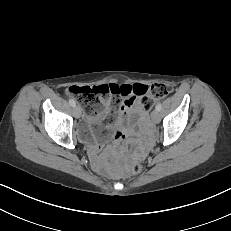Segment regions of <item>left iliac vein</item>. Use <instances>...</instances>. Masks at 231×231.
<instances>
[{"instance_id": "1", "label": "left iliac vein", "mask_w": 231, "mask_h": 231, "mask_svg": "<svg viewBox=\"0 0 231 231\" xmlns=\"http://www.w3.org/2000/svg\"><path fill=\"white\" fill-rule=\"evenodd\" d=\"M151 119L154 123H158L160 121V113L158 110H154L152 112Z\"/></svg>"}]
</instances>
